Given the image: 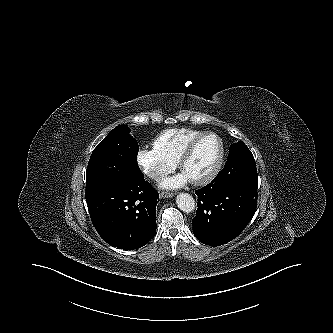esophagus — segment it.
<instances>
[{
  "label": "esophagus",
  "mask_w": 333,
  "mask_h": 333,
  "mask_svg": "<svg viewBox=\"0 0 333 333\" xmlns=\"http://www.w3.org/2000/svg\"><path fill=\"white\" fill-rule=\"evenodd\" d=\"M160 198H172L174 196V193L172 192H161L159 194Z\"/></svg>",
  "instance_id": "1"
}]
</instances>
